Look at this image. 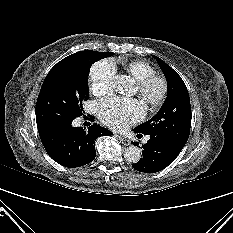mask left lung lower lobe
<instances>
[{
  "mask_svg": "<svg viewBox=\"0 0 233 233\" xmlns=\"http://www.w3.org/2000/svg\"><path fill=\"white\" fill-rule=\"evenodd\" d=\"M139 145L137 142H132ZM143 157L132 164L137 171L144 173H155L163 170L179 155L182 149L172 145L161 136L151 134L150 139L145 145H142Z\"/></svg>",
  "mask_w": 233,
  "mask_h": 233,
  "instance_id": "obj_1",
  "label": "left lung lower lobe"
}]
</instances>
